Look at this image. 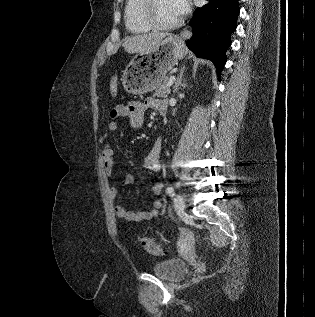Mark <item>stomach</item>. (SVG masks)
<instances>
[{
	"label": "stomach",
	"mask_w": 315,
	"mask_h": 317,
	"mask_svg": "<svg viewBox=\"0 0 315 317\" xmlns=\"http://www.w3.org/2000/svg\"><path fill=\"white\" fill-rule=\"evenodd\" d=\"M184 45L180 38L168 36L149 53H138L129 62L121 78L124 90L141 95L159 87L179 59L184 57Z\"/></svg>",
	"instance_id": "0dacf381"
}]
</instances>
